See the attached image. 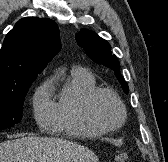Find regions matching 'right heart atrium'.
<instances>
[{
	"instance_id": "right-heart-atrium-1",
	"label": "right heart atrium",
	"mask_w": 168,
	"mask_h": 162,
	"mask_svg": "<svg viewBox=\"0 0 168 162\" xmlns=\"http://www.w3.org/2000/svg\"><path fill=\"white\" fill-rule=\"evenodd\" d=\"M55 105L50 99L49 82H44L36 91L33 98V111L37 123L46 127L52 124Z\"/></svg>"
}]
</instances>
